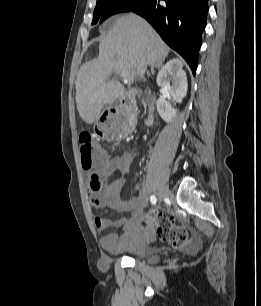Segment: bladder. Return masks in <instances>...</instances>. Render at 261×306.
<instances>
[{
  "label": "bladder",
  "instance_id": "31cf9c89",
  "mask_svg": "<svg viewBox=\"0 0 261 306\" xmlns=\"http://www.w3.org/2000/svg\"><path fill=\"white\" fill-rule=\"evenodd\" d=\"M131 258L135 261L155 264L159 260L158 252L153 249L148 243L140 242L131 253Z\"/></svg>",
  "mask_w": 261,
  "mask_h": 306
}]
</instances>
